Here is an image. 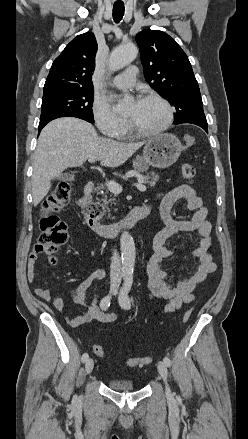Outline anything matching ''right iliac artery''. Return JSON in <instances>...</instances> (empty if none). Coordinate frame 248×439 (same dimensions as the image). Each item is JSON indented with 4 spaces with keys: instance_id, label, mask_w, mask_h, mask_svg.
Returning <instances> with one entry per match:
<instances>
[{
    "instance_id": "obj_1",
    "label": "right iliac artery",
    "mask_w": 248,
    "mask_h": 439,
    "mask_svg": "<svg viewBox=\"0 0 248 439\" xmlns=\"http://www.w3.org/2000/svg\"><path fill=\"white\" fill-rule=\"evenodd\" d=\"M111 299H112L111 295H107L101 300L100 307L102 310L108 309V307L110 306V303H111ZM88 358H89L88 353H84L81 357V360H82V362H86L88 360Z\"/></svg>"
}]
</instances>
